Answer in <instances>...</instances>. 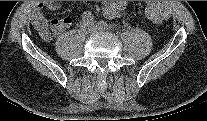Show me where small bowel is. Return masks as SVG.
Listing matches in <instances>:
<instances>
[{"instance_id": "small-bowel-1", "label": "small bowel", "mask_w": 207, "mask_h": 121, "mask_svg": "<svg viewBox=\"0 0 207 121\" xmlns=\"http://www.w3.org/2000/svg\"><path fill=\"white\" fill-rule=\"evenodd\" d=\"M126 7L124 1H107L102 4L103 13L107 18H115ZM60 8V3L46 1L38 3L31 12V21L38 35L44 41H50L53 36L60 35L65 29L72 24L70 17L53 19L50 22L45 17V11H55Z\"/></svg>"}]
</instances>
